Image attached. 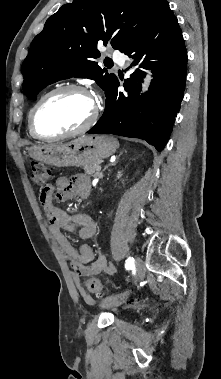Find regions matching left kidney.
<instances>
[{
    "mask_svg": "<svg viewBox=\"0 0 221 379\" xmlns=\"http://www.w3.org/2000/svg\"><path fill=\"white\" fill-rule=\"evenodd\" d=\"M122 176L121 172H118L117 178L119 179Z\"/></svg>",
    "mask_w": 221,
    "mask_h": 379,
    "instance_id": "left-kidney-1",
    "label": "left kidney"
}]
</instances>
